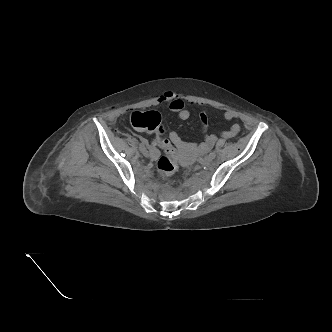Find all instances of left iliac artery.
I'll return each mask as SVG.
<instances>
[{"mask_svg": "<svg viewBox=\"0 0 332 332\" xmlns=\"http://www.w3.org/2000/svg\"><path fill=\"white\" fill-rule=\"evenodd\" d=\"M209 155L214 159L215 156H216V153L213 151V152H211Z\"/></svg>", "mask_w": 332, "mask_h": 332, "instance_id": "44dca946", "label": "left iliac artery"}]
</instances>
